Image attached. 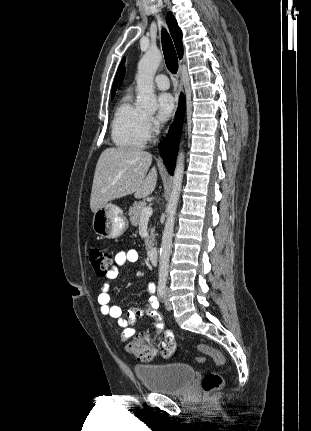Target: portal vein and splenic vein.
<instances>
[{
    "label": "portal vein and splenic vein",
    "instance_id": "18ae733b",
    "mask_svg": "<svg viewBox=\"0 0 311 431\" xmlns=\"http://www.w3.org/2000/svg\"><path fill=\"white\" fill-rule=\"evenodd\" d=\"M152 214H153V210L151 206H148V208H143L141 217H149V216H152Z\"/></svg>",
    "mask_w": 311,
    "mask_h": 431
}]
</instances>
